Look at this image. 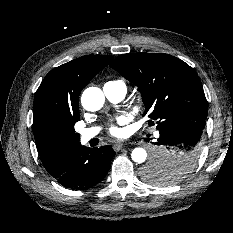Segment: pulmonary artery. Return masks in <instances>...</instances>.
<instances>
[{
  "instance_id": "obj_1",
  "label": "pulmonary artery",
  "mask_w": 233,
  "mask_h": 233,
  "mask_svg": "<svg viewBox=\"0 0 233 233\" xmlns=\"http://www.w3.org/2000/svg\"><path fill=\"white\" fill-rule=\"evenodd\" d=\"M103 91L107 99H109L111 102L114 103L122 101L126 95L125 85L105 84L103 87ZM79 133H80L81 142L86 143L99 133V128L98 127L85 128L82 129Z\"/></svg>"
}]
</instances>
